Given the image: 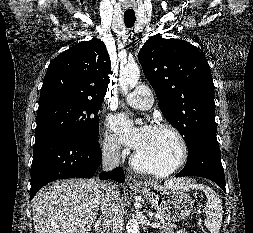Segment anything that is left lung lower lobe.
Returning <instances> with one entry per match:
<instances>
[{"label": "left lung lower lobe", "mask_w": 253, "mask_h": 233, "mask_svg": "<svg viewBox=\"0 0 253 233\" xmlns=\"http://www.w3.org/2000/svg\"><path fill=\"white\" fill-rule=\"evenodd\" d=\"M185 167L175 177L198 176L216 182L225 192V177L218 142L201 139L188 150Z\"/></svg>", "instance_id": "1"}]
</instances>
